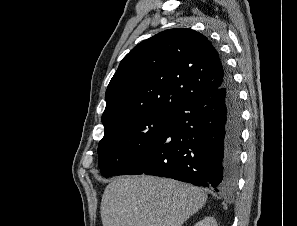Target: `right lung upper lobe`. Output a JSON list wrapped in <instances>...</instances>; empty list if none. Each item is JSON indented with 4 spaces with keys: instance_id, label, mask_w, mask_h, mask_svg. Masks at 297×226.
Returning <instances> with one entry per match:
<instances>
[{
    "instance_id": "right-lung-upper-lobe-1",
    "label": "right lung upper lobe",
    "mask_w": 297,
    "mask_h": 226,
    "mask_svg": "<svg viewBox=\"0 0 297 226\" xmlns=\"http://www.w3.org/2000/svg\"><path fill=\"white\" fill-rule=\"evenodd\" d=\"M225 69L210 41L185 28L163 31L134 47L106 90L105 128L137 114L173 110L220 88Z\"/></svg>"
}]
</instances>
